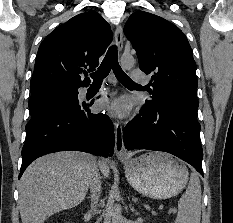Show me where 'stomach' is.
I'll use <instances>...</instances> for the list:
<instances>
[{"label":"stomach","mask_w":233,"mask_h":223,"mask_svg":"<svg viewBox=\"0 0 233 223\" xmlns=\"http://www.w3.org/2000/svg\"><path fill=\"white\" fill-rule=\"evenodd\" d=\"M122 161L130 185L153 199L178 195L189 179L185 163L163 151H147L139 157Z\"/></svg>","instance_id":"1"}]
</instances>
